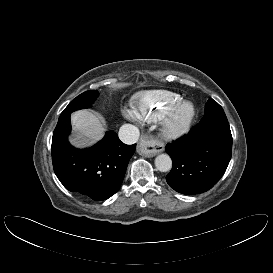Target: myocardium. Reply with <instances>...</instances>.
<instances>
[{"instance_id": "f54148a6", "label": "myocardium", "mask_w": 273, "mask_h": 273, "mask_svg": "<svg viewBox=\"0 0 273 273\" xmlns=\"http://www.w3.org/2000/svg\"><path fill=\"white\" fill-rule=\"evenodd\" d=\"M194 116L195 108L192 103H179L162 118V136L166 139L180 138L189 131Z\"/></svg>"}]
</instances>
